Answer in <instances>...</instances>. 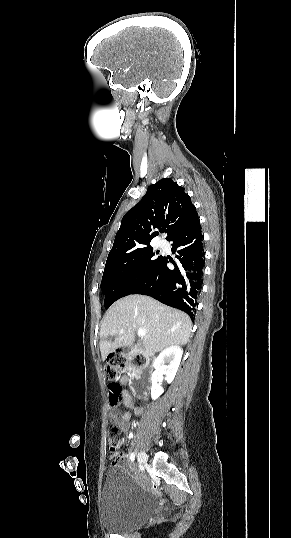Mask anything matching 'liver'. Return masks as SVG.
I'll return each instance as SVG.
<instances>
[{
	"label": "liver",
	"instance_id": "obj_1",
	"mask_svg": "<svg viewBox=\"0 0 291 538\" xmlns=\"http://www.w3.org/2000/svg\"><path fill=\"white\" fill-rule=\"evenodd\" d=\"M144 329V348L159 352L173 345H186L192 322L179 310L170 308L144 295H129L116 301L106 312L100 327V351L102 360L121 347L131 346L135 332ZM120 330H123L120 333ZM115 336L112 342L107 340Z\"/></svg>",
	"mask_w": 291,
	"mask_h": 538
}]
</instances>
